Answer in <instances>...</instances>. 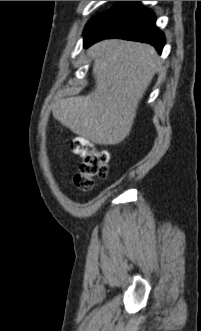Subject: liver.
I'll return each instance as SVG.
<instances>
[{
  "instance_id": "1",
  "label": "liver",
  "mask_w": 201,
  "mask_h": 331,
  "mask_svg": "<svg viewBox=\"0 0 201 331\" xmlns=\"http://www.w3.org/2000/svg\"><path fill=\"white\" fill-rule=\"evenodd\" d=\"M95 89L58 99L53 116L73 133L99 145H115L130 133L137 108L155 74L157 53L145 43L103 40L89 49Z\"/></svg>"
}]
</instances>
